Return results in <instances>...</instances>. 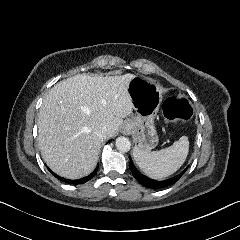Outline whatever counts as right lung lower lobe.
Masks as SVG:
<instances>
[{
    "mask_svg": "<svg viewBox=\"0 0 240 240\" xmlns=\"http://www.w3.org/2000/svg\"><path fill=\"white\" fill-rule=\"evenodd\" d=\"M57 179L65 182V183H69V184H83L85 182H87L88 180H90L97 172V168L88 176L78 179V180H69V179H65L63 177H60L58 175H56L55 173H53L50 169H48Z\"/></svg>",
    "mask_w": 240,
    "mask_h": 240,
    "instance_id": "obj_1",
    "label": "right lung lower lobe"
}]
</instances>
